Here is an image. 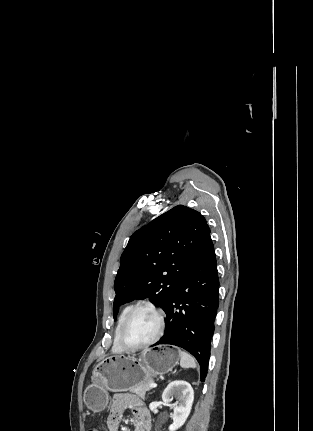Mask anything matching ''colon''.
Masks as SVG:
<instances>
[{
  "label": "colon",
  "instance_id": "obj_1",
  "mask_svg": "<svg viewBox=\"0 0 313 431\" xmlns=\"http://www.w3.org/2000/svg\"><path fill=\"white\" fill-rule=\"evenodd\" d=\"M88 431H99L98 429H96V428H91V429H89Z\"/></svg>",
  "mask_w": 313,
  "mask_h": 431
}]
</instances>
